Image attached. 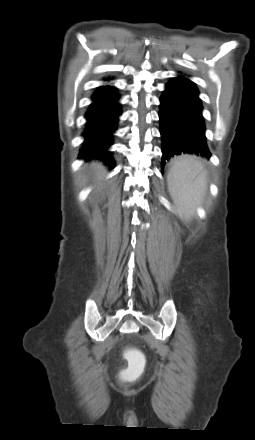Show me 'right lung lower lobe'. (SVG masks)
<instances>
[{"instance_id": "right-lung-lower-lobe-1", "label": "right lung lower lobe", "mask_w": 255, "mask_h": 440, "mask_svg": "<svg viewBox=\"0 0 255 440\" xmlns=\"http://www.w3.org/2000/svg\"><path fill=\"white\" fill-rule=\"evenodd\" d=\"M109 78L106 79L108 81ZM120 95L112 85H102L93 93L88 111L80 157L100 159L110 167L115 161L108 149L114 143V133L121 115Z\"/></svg>"}]
</instances>
